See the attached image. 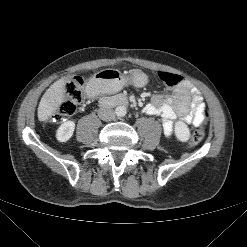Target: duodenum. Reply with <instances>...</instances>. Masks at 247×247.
I'll use <instances>...</instances> for the list:
<instances>
[{"mask_svg": "<svg viewBox=\"0 0 247 247\" xmlns=\"http://www.w3.org/2000/svg\"><path fill=\"white\" fill-rule=\"evenodd\" d=\"M99 105L103 108L126 106L128 99L124 95L107 96L99 100Z\"/></svg>", "mask_w": 247, "mask_h": 247, "instance_id": "obj_1", "label": "duodenum"}]
</instances>
